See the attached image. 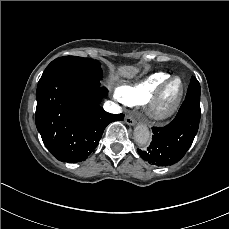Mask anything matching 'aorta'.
<instances>
[{"instance_id":"762f6f07","label":"aorta","mask_w":229,"mask_h":229,"mask_svg":"<svg viewBox=\"0 0 229 229\" xmlns=\"http://www.w3.org/2000/svg\"><path fill=\"white\" fill-rule=\"evenodd\" d=\"M134 139L140 146L146 145L150 141V131L145 125H138L134 129Z\"/></svg>"}]
</instances>
